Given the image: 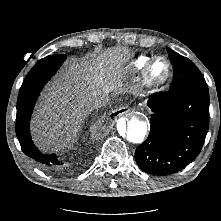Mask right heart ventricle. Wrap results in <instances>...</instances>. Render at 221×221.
<instances>
[{
	"mask_svg": "<svg viewBox=\"0 0 221 221\" xmlns=\"http://www.w3.org/2000/svg\"><path fill=\"white\" fill-rule=\"evenodd\" d=\"M150 57L146 55H141L135 60V66L139 70H144L145 66L149 62Z\"/></svg>",
	"mask_w": 221,
	"mask_h": 221,
	"instance_id": "obj_1",
	"label": "right heart ventricle"
}]
</instances>
